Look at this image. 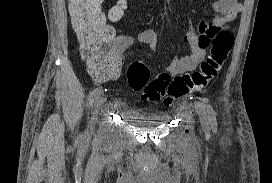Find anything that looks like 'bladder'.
<instances>
[{"label": "bladder", "instance_id": "bladder-1", "mask_svg": "<svg viewBox=\"0 0 272 183\" xmlns=\"http://www.w3.org/2000/svg\"><path fill=\"white\" fill-rule=\"evenodd\" d=\"M123 114L130 123L143 129L159 127L167 121V117L165 116H141L131 112Z\"/></svg>", "mask_w": 272, "mask_h": 183}]
</instances>
